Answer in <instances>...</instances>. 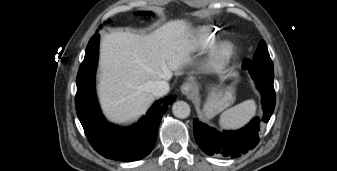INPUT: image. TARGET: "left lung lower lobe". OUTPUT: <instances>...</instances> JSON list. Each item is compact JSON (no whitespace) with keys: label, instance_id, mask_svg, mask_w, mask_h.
Returning <instances> with one entry per match:
<instances>
[{"label":"left lung lower lobe","instance_id":"obj_1","mask_svg":"<svg viewBox=\"0 0 337 171\" xmlns=\"http://www.w3.org/2000/svg\"><path fill=\"white\" fill-rule=\"evenodd\" d=\"M256 87L262 95L263 116L255 117L238 131L217 132L213 128L194 120V136L199 147L208 155L236 158L253 149L259 142L260 125L267 123L275 108L274 72L248 69Z\"/></svg>","mask_w":337,"mask_h":171}]
</instances>
